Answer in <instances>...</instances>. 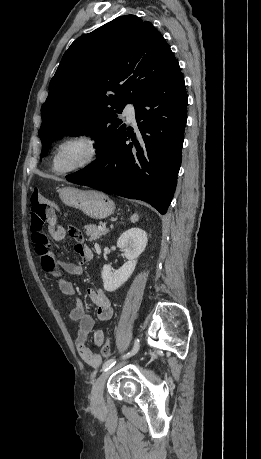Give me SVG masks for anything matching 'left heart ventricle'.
<instances>
[{"label":"left heart ventricle","instance_id":"obj_1","mask_svg":"<svg viewBox=\"0 0 261 459\" xmlns=\"http://www.w3.org/2000/svg\"><path fill=\"white\" fill-rule=\"evenodd\" d=\"M85 148L79 143H70L59 150L55 159L54 166L59 170L67 169L82 160Z\"/></svg>","mask_w":261,"mask_h":459}]
</instances>
